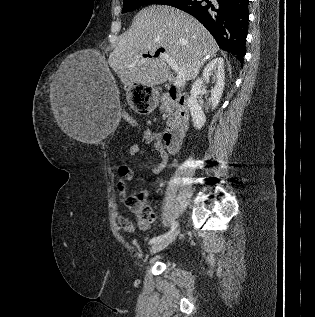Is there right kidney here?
I'll return each instance as SVG.
<instances>
[{"instance_id":"obj_1","label":"right kidney","mask_w":315,"mask_h":317,"mask_svg":"<svg viewBox=\"0 0 315 317\" xmlns=\"http://www.w3.org/2000/svg\"><path fill=\"white\" fill-rule=\"evenodd\" d=\"M210 76H212V82L214 84V87L211 89L210 102L212 109H215L222 97L225 85L223 58L219 57L210 61L204 68L202 76L197 79L192 86L191 95L188 99V107L191 113L193 125L196 129H201L206 122V116L197 98L198 95L205 90V84L209 83Z\"/></svg>"}]
</instances>
